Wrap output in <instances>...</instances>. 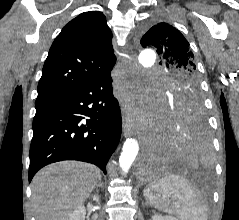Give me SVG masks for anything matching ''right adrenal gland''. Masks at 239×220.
Listing matches in <instances>:
<instances>
[{"instance_id": "right-adrenal-gland-1", "label": "right adrenal gland", "mask_w": 239, "mask_h": 220, "mask_svg": "<svg viewBox=\"0 0 239 220\" xmlns=\"http://www.w3.org/2000/svg\"><path fill=\"white\" fill-rule=\"evenodd\" d=\"M98 187H101L102 189L104 188L103 182L100 180L99 184L96 186V188L98 189Z\"/></svg>"}]
</instances>
